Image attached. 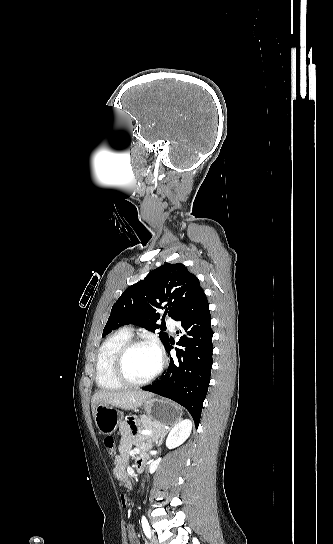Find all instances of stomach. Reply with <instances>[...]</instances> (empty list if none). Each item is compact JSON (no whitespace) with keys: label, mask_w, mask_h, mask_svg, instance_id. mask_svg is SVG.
I'll use <instances>...</instances> for the list:
<instances>
[{"label":"stomach","mask_w":333,"mask_h":544,"mask_svg":"<svg viewBox=\"0 0 333 544\" xmlns=\"http://www.w3.org/2000/svg\"><path fill=\"white\" fill-rule=\"evenodd\" d=\"M144 409L154 421L162 425H173L180 421L182 409L168 400L149 398L144 402ZM123 415L112 405L98 404L95 409V423L104 435H111L122 423Z\"/></svg>","instance_id":"stomach-1"}]
</instances>
